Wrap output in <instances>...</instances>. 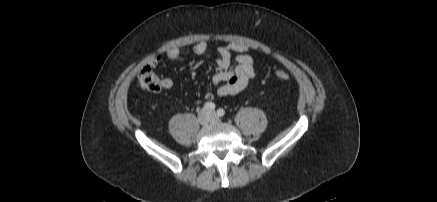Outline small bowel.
<instances>
[{
	"mask_svg": "<svg viewBox=\"0 0 437 202\" xmlns=\"http://www.w3.org/2000/svg\"><path fill=\"white\" fill-rule=\"evenodd\" d=\"M207 50V42L201 41L193 47L196 55H202ZM248 45L239 42H229L217 48L215 57V73L212 83L216 87L215 94L206 92L205 98L212 100L217 97L232 96L243 91L249 81L256 75L254 58L249 54ZM164 57L171 63L187 60L179 47H171L164 52ZM162 57L152 58L150 63L156 66ZM173 85L171 79L163 80V87L168 89Z\"/></svg>",
	"mask_w": 437,
	"mask_h": 202,
	"instance_id": "c3829d8e",
	"label": "small bowel"
}]
</instances>
